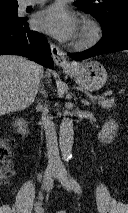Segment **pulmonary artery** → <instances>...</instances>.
Listing matches in <instances>:
<instances>
[{"instance_id": "e3ab8cb5", "label": "pulmonary artery", "mask_w": 128, "mask_h": 213, "mask_svg": "<svg viewBox=\"0 0 128 213\" xmlns=\"http://www.w3.org/2000/svg\"><path fill=\"white\" fill-rule=\"evenodd\" d=\"M46 0H22L21 7L26 8L31 5L42 3Z\"/></svg>"}]
</instances>
